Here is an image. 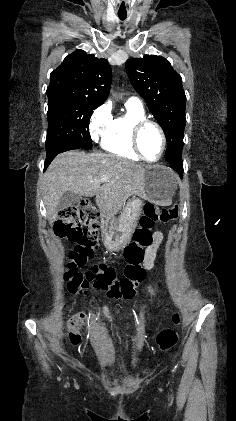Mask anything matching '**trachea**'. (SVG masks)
Instances as JSON below:
<instances>
[{
	"mask_svg": "<svg viewBox=\"0 0 236 421\" xmlns=\"http://www.w3.org/2000/svg\"><path fill=\"white\" fill-rule=\"evenodd\" d=\"M120 20H125L126 19V15L122 16V15H118Z\"/></svg>",
	"mask_w": 236,
	"mask_h": 421,
	"instance_id": "trachea-1",
	"label": "trachea"
}]
</instances>
